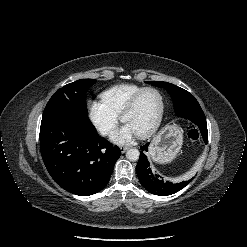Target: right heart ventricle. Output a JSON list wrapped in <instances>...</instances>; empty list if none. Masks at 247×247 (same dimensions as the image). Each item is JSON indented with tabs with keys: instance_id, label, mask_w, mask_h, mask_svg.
<instances>
[{
	"instance_id": "obj_1",
	"label": "right heart ventricle",
	"mask_w": 247,
	"mask_h": 247,
	"mask_svg": "<svg viewBox=\"0 0 247 247\" xmlns=\"http://www.w3.org/2000/svg\"><path fill=\"white\" fill-rule=\"evenodd\" d=\"M145 87L135 84H121L101 93V99L113 112L120 115L131 98Z\"/></svg>"
}]
</instances>
